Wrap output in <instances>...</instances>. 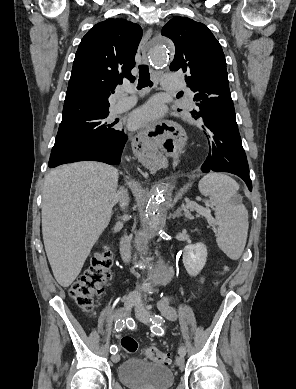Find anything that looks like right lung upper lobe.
I'll use <instances>...</instances> for the list:
<instances>
[{
	"label": "right lung upper lobe",
	"instance_id": "1",
	"mask_svg": "<svg viewBox=\"0 0 296 389\" xmlns=\"http://www.w3.org/2000/svg\"><path fill=\"white\" fill-rule=\"evenodd\" d=\"M142 38L141 27L109 18L93 26L81 40L73 62L62 116L109 112L108 98L131 74Z\"/></svg>",
	"mask_w": 296,
	"mask_h": 389
}]
</instances>
